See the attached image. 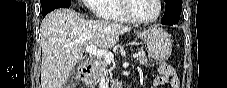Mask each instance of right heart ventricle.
Here are the masks:
<instances>
[{"instance_id":"e07e8e85","label":"right heart ventricle","mask_w":227,"mask_h":88,"mask_svg":"<svg viewBox=\"0 0 227 88\" xmlns=\"http://www.w3.org/2000/svg\"><path fill=\"white\" fill-rule=\"evenodd\" d=\"M123 0H91V9L100 19H111L121 22H128L121 10Z\"/></svg>"}]
</instances>
